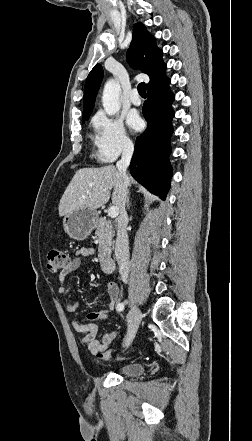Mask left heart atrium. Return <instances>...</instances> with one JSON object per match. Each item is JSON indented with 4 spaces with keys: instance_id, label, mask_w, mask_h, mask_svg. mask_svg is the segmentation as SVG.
<instances>
[{
    "instance_id": "1",
    "label": "left heart atrium",
    "mask_w": 252,
    "mask_h": 441,
    "mask_svg": "<svg viewBox=\"0 0 252 441\" xmlns=\"http://www.w3.org/2000/svg\"><path fill=\"white\" fill-rule=\"evenodd\" d=\"M128 123H129V126L134 130L140 129L141 124H142L140 117L136 114H132L129 116Z\"/></svg>"
}]
</instances>
